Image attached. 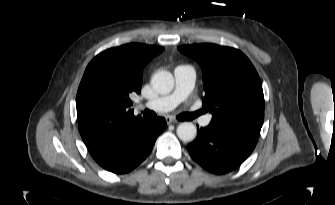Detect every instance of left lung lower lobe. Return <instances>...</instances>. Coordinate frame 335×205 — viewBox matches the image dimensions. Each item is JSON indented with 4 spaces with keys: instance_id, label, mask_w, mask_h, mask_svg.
Here are the masks:
<instances>
[{
    "instance_id": "0a47b994",
    "label": "left lung lower lobe",
    "mask_w": 335,
    "mask_h": 205,
    "mask_svg": "<svg viewBox=\"0 0 335 205\" xmlns=\"http://www.w3.org/2000/svg\"><path fill=\"white\" fill-rule=\"evenodd\" d=\"M258 137L210 122L198 130L197 138L187 146L191 157L204 169L224 174L237 168L254 150Z\"/></svg>"
}]
</instances>
